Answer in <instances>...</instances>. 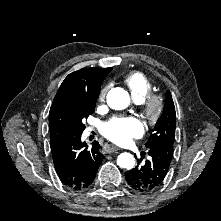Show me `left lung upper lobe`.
Segmentation results:
<instances>
[{
    "label": "left lung upper lobe",
    "mask_w": 221,
    "mask_h": 221,
    "mask_svg": "<svg viewBox=\"0 0 221 221\" xmlns=\"http://www.w3.org/2000/svg\"><path fill=\"white\" fill-rule=\"evenodd\" d=\"M176 113L171 93L167 91L164 110L145 146L148 149L163 147L173 153Z\"/></svg>",
    "instance_id": "left-lung-upper-lobe-1"
}]
</instances>
